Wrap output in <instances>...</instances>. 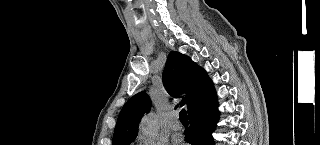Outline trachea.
Instances as JSON below:
<instances>
[{
    "mask_svg": "<svg viewBox=\"0 0 320 145\" xmlns=\"http://www.w3.org/2000/svg\"><path fill=\"white\" fill-rule=\"evenodd\" d=\"M179 118H180V121L183 122V121H188V118H187V114H186V111L185 109H182L179 113Z\"/></svg>",
    "mask_w": 320,
    "mask_h": 145,
    "instance_id": "3493384b",
    "label": "trachea"
}]
</instances>
